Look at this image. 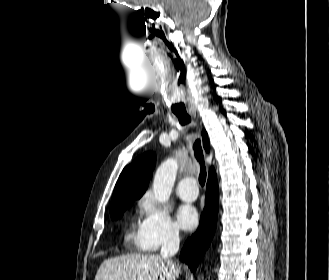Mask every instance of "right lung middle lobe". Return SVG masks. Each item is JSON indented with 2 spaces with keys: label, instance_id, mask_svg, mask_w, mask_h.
<instances>
[{
  "label": "right lung middle lobe",
  "instance_id": "right-lung-middle-lobe-1",
  "mask_svg": "<svg viewBox=\"0 0 329 280\" xmlns=\"http://www.w3.org/2000/svg\"><path fill=\"white\" fill-rule=\"evenodd\" d=\"M134 199L132 200H123L119 202L117 205L111 208L110 213L112 219H117L122 216L124 210L130 206V204L133 202Z\"/></svg>",
  "mask_w": 329,
  "mask_h": 280
}]
</instances>
